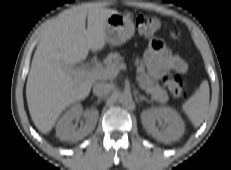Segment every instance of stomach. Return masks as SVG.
<instances>
[{"mask_svg": "<svg viewBox=\"0 0 231 170\" xmlns=\"http://www.w3.org/2000/svg\"><path fill=\"white\" fill-rule=\"evenodd\" d=\"M104 30L107 43L121 45L132 38L135 25L130 14L115 13L108 17Z\"/></svg>", "mask_w": 231, "mask_h": 170, "instance_id": "1", "label": "stomach"}]
</instances>
